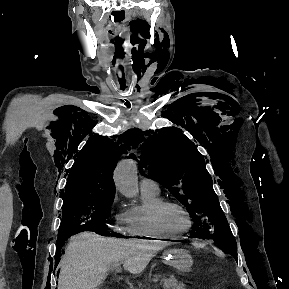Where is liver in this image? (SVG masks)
<instances>
[{
  "instance_id": "liver-1",
  "label": "liver",
  "mask_w": 289,
  "mask_h": 289,
  "mask_svg": "<svg viewBox=\"0 0 289 289\" xmlns=\"http://www.w3.org/2000/svg\"><path fill=\"white\" fill-rule=\"evenodd\" d=\"M167 242L104 238L92 232L73 236L61 261L58 289H96L110 266L123 261L124 269L140 274Z\"/></svg>"
}]
</instances>
